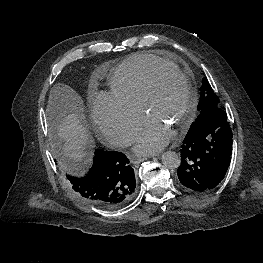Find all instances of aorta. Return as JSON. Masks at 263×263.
Instances as JSON below:
<instances>
[{"label": "aorta", "instance_id": "obj_1", "mask_svg": "<svg viewBox=\"0 0 263 263\" xmlns=\"http://www.w3.org/2000/svg\"><path fill=\"white\" fill-rule=\"evenodd\" d=\"M162 163L166 168L177 169L180 166L181 158L177 153L167 151L162 155Z\"/></svg>", "mask_w": 263, "mask_h": 263}]
</instances>
